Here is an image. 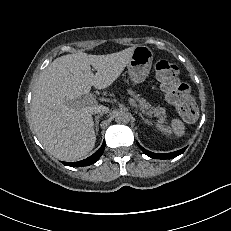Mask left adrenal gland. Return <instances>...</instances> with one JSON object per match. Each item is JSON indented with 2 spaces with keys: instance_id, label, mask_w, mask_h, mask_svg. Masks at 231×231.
<instances>
[{
  "instance_id": "1",
  "label": "left adrenal gland",
  "mask_w": 231,
  "mask_h": 231,
  "mask_svg": "<svg viewBox=\"0 0 231 231\" xmlns=\"http://www.w3.org/2000/svg\"><path fill=\"white\" fill-rule=\"evenodd\" d=\"M139 116L141 117V119L144 121L145 124L148 123L147 119H145V117L143 116V114L141 112H138Z\"/></svg>"
}]
</instances>
